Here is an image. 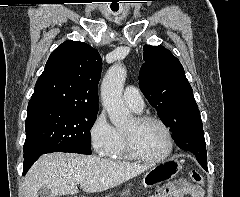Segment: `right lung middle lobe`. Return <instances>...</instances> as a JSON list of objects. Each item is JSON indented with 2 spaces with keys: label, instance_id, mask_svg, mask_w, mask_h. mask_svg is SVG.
<instances>
[{
  "label": "right lung middle lobe",
  "instance_id": "obj_1",
  "mask_svg": "<svg viewBox=\"0 0 240 197\" xmlns=\"http://www.w3.org/2000/svg\"><path fill=\"white\" fill-rule=\"evenodd\" d=\"M98 110L47 108L28 112L24 161L52 152L91 154V134Z\"/></svg>",
  "mask_w": 240,
  "mask_h": 197
}]
</instances>
